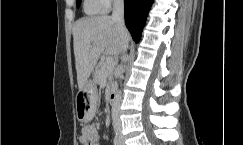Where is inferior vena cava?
I'll list each match as a JSON object with an SVG mask.
<instances>
[{"mask_svg": "<svg viewBox=\"0 0 243 145\" xmlns=\"http://www.w3.org/2000/svg\"><path fill=\"white\" fill-rule=\"evenodd\" d=\"M112 20L115 21L119 27L121 33H123L126 28L124 25V3L123 0H113V13H112ZM128 48V41L123 40L122 50L121 52L124 54ZM125 60V56H122V61ZM121 71H123L122 65H120ZM120 103H121V92L119 91L116 95L115 101L112 105V114L114 117L118 118V114L120 111ZM118 122V121H117ZM119 123V122H118Z\"/></svg>", "mask_w": 243, "mask_h": 145, "instance_id": "inferior-vena-cava-1", "label": "inferior vena cava"}]
</instances>
